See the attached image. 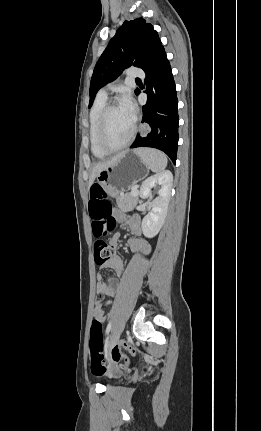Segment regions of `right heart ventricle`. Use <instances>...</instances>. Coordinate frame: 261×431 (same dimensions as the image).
<instances>
[{"label": "right heart ventricle", "mask_w": 261, "mask_h": 431, "mask_svg": "<svg viewBox=\"0 0 261 431\" xmlns=\"http://www.w3.org/2000/svg\"><path fill=\"white\" fill-rule=\"evenodd\" d=\"M107 104V97L106 95L98 94L92 108L90 111V118H89V142H90V149L92 154L96 158H104L108 155V153L104 152L97 140V132H98V125H99V118L101 115L102 110Z\"/></svg>", "instance_id": "obj_1"}]
</instances>
